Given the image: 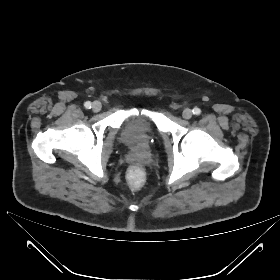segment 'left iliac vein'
I'll return each instance as SVG.
<instances>
[{"instance_id":"1","label":"left iliac vein","mask_w":280,"mask_h":280,"mask_svg":"<svg viewBox=\"0 0 280 280\" xmlns=\"http://www.w3.org/2000/svg\"><path fill=\"white\" fill-rule=\"evenodd\" d=\"M193 113L192 110L189 108H186L183 110L182 116L184 119H190L192 117Z\"/></svg>"}]
</instances>
